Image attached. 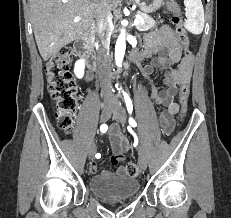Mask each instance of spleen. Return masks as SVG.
Here are the masks:
<instances>
[{"label":"spleen","mask_w":231,"mask_h":218,"mask_svg":"<svg viewBox=\"0 0 231 218\" xmlns=\"http://www.w3.org/2000/svg\"><path fill=\"white\" fill-rule=\"evenodd\" d=\"M186 20L184 27L192 34L199 35L204 28V9L201 0H184Z\"/></svg>","instance_id":"1"}]
</instances>
